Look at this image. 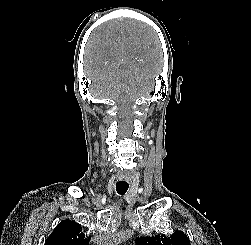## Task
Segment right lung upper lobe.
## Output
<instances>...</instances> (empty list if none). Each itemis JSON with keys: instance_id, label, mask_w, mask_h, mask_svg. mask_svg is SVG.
I'll use <instances>...</instances> for the list:
<instances>
[{"instance_id": "right-lung-upper-lobe-1", "label": "right lung upper lobe", "mask_w": 251, "mask_h": 245, "mask_svg": "<svg viewBox=\"0 0 251 245\" xmlns=\"http://www.w3.org/2000/svg\"><path fill=\"white\" fill-rule=\"evenodd\" d=\"M89 239L78 223L64 220L58 224L44 245H89Z\"/></svg>"}]
</instances>
